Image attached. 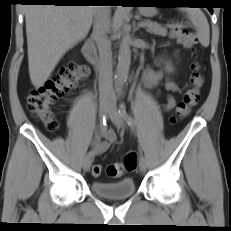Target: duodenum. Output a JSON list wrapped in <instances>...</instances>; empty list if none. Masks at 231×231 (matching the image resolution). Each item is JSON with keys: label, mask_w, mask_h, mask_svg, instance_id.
I'll return each instance as SVG.
<instances>
[{"label": "duodenum", "mask_w": 231, "mask_h": 231, "mask_svg": "<svg viewBox=\"0 0 231 231\" xmlns=\"http://www.w3.org/2000/svg\"><path fill=\"white\" fill-rule=\"evenodd\" d=\"M83 53L90 64L94 66L98 65V55L93 42L88 41L84 44Z\"/></svg>", "instance_id": "obj_1"}]
</instances>
